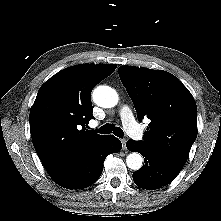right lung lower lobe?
Segmentation results:
<instances>
[{"mask_svg": "<svg viewBox=\"0 0 221 221\" xmlns=\"http://www.w3.org/2000/svg\"><path fill=\"white\" fill-rule=\"evenodd\" d=\"M121 148L122 144L118 138L107 135L101 142L51 178L59 186L67 189L86 188L100 177L106 156L119 152Z\"/></svg>", "mask_w": 221, "mask_h": 221, "instance_id": "98d812e1", "label": "right lung lower lobe"}]
</instances>
